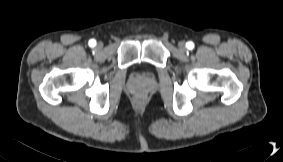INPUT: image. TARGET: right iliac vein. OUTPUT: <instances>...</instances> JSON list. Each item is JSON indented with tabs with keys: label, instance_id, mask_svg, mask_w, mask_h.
Returning a JSON list of instances; mask_svg holds the SVG:
<instances>
[{
	"label": "right iliac vein",
	"instance_id": "obj_1",
	"mask_svg": "<svg viewBox=\"0 0 283 162\" xmlns=\"http://www.w3.org/2000/svg\"><path fill=\"white\" fill-rule=\"evenodd\" d=\"M102 47H103V43L99 42V43L97 44V49H101Z\"/></svg>",
	"mask_w": 283,
	"mask_h": 162
}]
</instances>
